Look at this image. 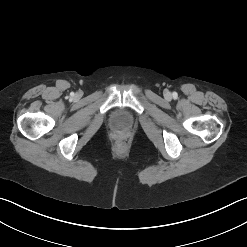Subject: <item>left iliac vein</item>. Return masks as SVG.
Wrapping results in <instances>:
<instances>
[{
  "label": "left iliac vein",
  "instance_id": "obj_1",
  "mask_svg": "<svg viewBox=\"0 0 247 247\" xmlns=\"http://www.w3.org/2000/svg\"><path fill=\"white\" fill-rule=\"evenodd\" d=\"M168 97L170 96V93L169 92H167V94H166Z\"/></svg>",
  "mask_w": 247,
  "mask_h": 247
}]
</instances>
